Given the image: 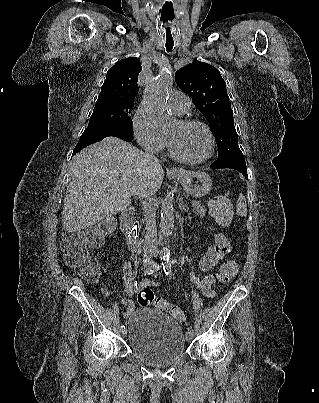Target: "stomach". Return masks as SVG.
I'll return each instance as SVG.
<instances>
[{
    "instance_id": "0dacf381",
    "label": "stomach",
    "mask_w": 319,
    "mask_h": 403,
    "mask_svg": "<svg viewBox=\"0 0 319 403\" xmlns=\"http://www.w3.org/2000/svg\"><path fill=\"white\" fill-rule=\"evenodd\" d=\"M175 178L189 195L196 198L207 195L212 189V180L205 172L183 171L175 175Z\"/></svg>"
}]
</instances>
